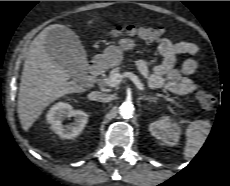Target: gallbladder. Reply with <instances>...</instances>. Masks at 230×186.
<instances>
[{
	"mask_svg": "<svg viewBox=\"0 0 230 186\" xmlns=\"http://www.w3.org/2000/svg\"><path fill=\"white\" fill-rule=\"evenodd\" d=\"M45 48L50 57L64 67L70 76L84 83L87 77V59L78 36L68 28H53L45 39Z\"/></svg>",
	"mask_w": 230,
	"mask_h": 186,
	"instance_id": "1",
	"label": "gallbladder"
}]
</instances>
